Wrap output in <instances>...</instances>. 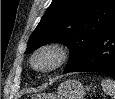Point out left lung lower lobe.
Returning <instances> with one entry per match:
<instances>
[{
	"label": "left lung lower lobe",
	"instance_id": "0a47b994",
	"mask_svg": "<svg viewBox=\"0 0 115 99\" xmlns=\"http://www.w3.org/2000/svg\"><path fill=\"white\" fill-rule=\"evenodd\" d=\"M83 71L99 72L115 78V23L68 72Z\"/></svg>",
	"mask_w": 115,
	"mask_h": 99
}]
</instances>
